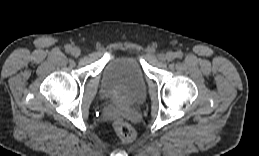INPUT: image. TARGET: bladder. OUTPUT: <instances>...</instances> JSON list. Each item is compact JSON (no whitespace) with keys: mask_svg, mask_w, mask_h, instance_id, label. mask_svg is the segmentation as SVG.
<instances>
[{"mask_svg":"<svg viewBox=\"0 0 259 156\" xmlns=\"http://www.w3.org/2000/svg\"><path fill=\"white\" fill-rule=\"evenodd\" d=\"M147 88V76L140 60L134 55L112 59L102 75L101 93L125 104L140 102Z\"/></svg>","mask_w":259,"mask_h":156,"instance_id":"1","label":"bladder"}]
</instances>
